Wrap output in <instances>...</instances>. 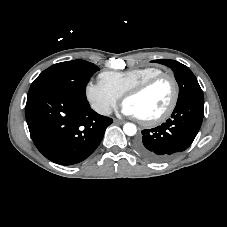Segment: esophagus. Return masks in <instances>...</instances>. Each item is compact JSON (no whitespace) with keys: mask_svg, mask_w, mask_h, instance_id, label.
Wrapping results in <instances>:
<instances>
[{"mask_svg":"<svg viewBox=\"0 0 227 227\" xmlns=\"http://www.w3.org/2000/svg\"><path fill=\"white\" fill-rule=\"evenodd\" d=\"M114 123H116V124H124L125 121L119 120V119H114Z\"/></svg>","mask_w":227,"mask_h":227,"instance_id":"34e87169","label":"esophagus"}]
</instances>
